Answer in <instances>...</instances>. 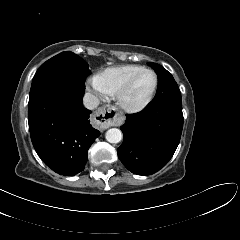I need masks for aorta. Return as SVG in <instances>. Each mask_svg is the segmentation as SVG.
I'll return each mask as SVG.
<instances>
[{
    "mask_svg": "<svg viewBox=\"0 0 240 240\" xmlns=\"http://www.w3.org/2000/svg\"><path fill=\"white\" fill-rule=\"evenodd\" d=\"M106 140L109 143H119L122 140V132L117 128L109 129L106 132Z\"/></svg>",
    "mask_w": 240,
    "mask_h": 240,
    "instance_id": "762f6f07",
    "label": "aorta"
}]
</instances>
